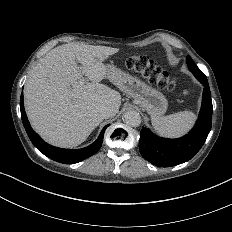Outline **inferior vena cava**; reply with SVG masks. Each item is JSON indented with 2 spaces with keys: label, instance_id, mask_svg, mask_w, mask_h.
Masks as SVG:
<instances>
[{
  "label": "inferior vena cava",
  "instance_id": "1",
  "mask_svg": "<svg viewBox=\"0 0 232 232\" xmlns=\"http://www.w3.org/2000/svg\"><path fill=\"white\" fill-rule=\"evenodd\" d=\"M98 113L102 118H109L113 115V111L108 106H102L98 109Z\"/></svg>",
  "mask_w": 232,
  "mask_h": 232
}]
</instances>
